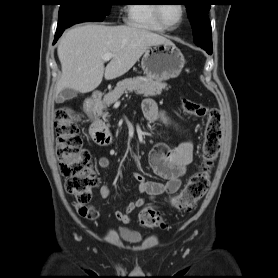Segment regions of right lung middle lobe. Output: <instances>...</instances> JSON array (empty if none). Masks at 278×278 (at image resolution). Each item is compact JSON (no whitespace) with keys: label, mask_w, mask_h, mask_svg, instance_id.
<instances>
[{"label":"right lung middle lobe","mask_w":278,"mask_h":278,"mask_svg":"<svg viewBox=\"0 0 278 278\" xmlns=\"http://www.w3.org/2000/svg\"><path fill=\"white\" fill-rule=\"evenodd\" d=\"M114 0H59L57 29L86 21H102L109 15Z\"/></svg>","instance_id":"right-lung-middle-lobe-1"}]
</instances>
